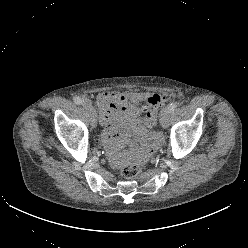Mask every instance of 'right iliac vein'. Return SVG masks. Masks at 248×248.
Here are the masks:
<instances>
[{
	"instance_id": "1",
	"label": "right iliac vein",
	"mask_w": 248,
	"mask_h": 248,
	"mask_svg": "<svg viewBox=\"0 0 248 248\" xmlns=\"http://www.w3.org/2000/svg\"><path fill=\"white\" fill-rule=\"evenodd\" d=\"M87 110L89 111V114L91 116V124L93 127L96 126V111L94 107L91 105V102L89 100H86L85 105H84Z\"/></svg>"
}]
</instances>
